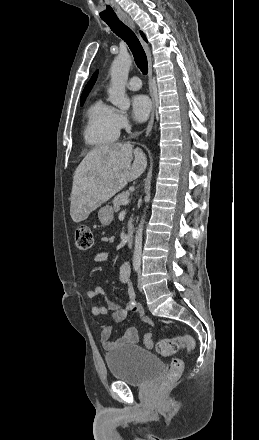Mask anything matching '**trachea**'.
Returning <instances> with one entry per match:
<instances>
[{"label":"trachea","instance_id":"1","mask_svg":"<svg viewBox=\"0 0 259 440\" xmlns=\"http://www.w3.org/2000/svg\"><path fill=\"white\" fill-rule=\"evenodd\" d=\"M104 21L117 36L127 43L133 54L136 65L141 72L146 75L148 72L147 56L135 33L120 21L118 17L106 19Z\"/></svg>","mask_w":259,"mask_h":440}]
</instances>
